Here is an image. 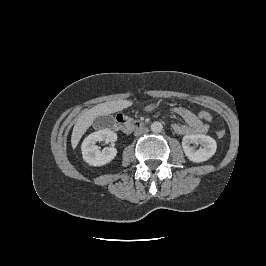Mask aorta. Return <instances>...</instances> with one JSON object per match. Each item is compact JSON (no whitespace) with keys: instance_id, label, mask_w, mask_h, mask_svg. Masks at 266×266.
Returning <instances> with one entry per match:
<instances>
[{"instance_id":"762f6f07","label":"aorta","mask_w":266,"mask_h":266,"mask_svg":"<svg viewBox=\"0 0 266 266\" xmlns=\"http://www.w3.org/2000/svg\"><path fill=\"white\" fill-rule=\"evenodd\" d=\"M163 130L161 122L155 121L151 124V131L154 133H160Z\"/></svg>"}]
</instances>
